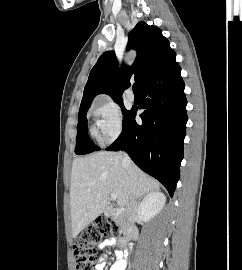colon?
<instances>
[{
	"mask_svg": "<svg viewBox=\"0 0 242 270\" xmlns=\"http://www.w3.org/2000/svg\"><path fill=\"white\" fill-rule=\"evenodd\" d=\"M120 234L118 225L111 219L101 218L87 226L72 245L76 270L95 269V247L106 238Z\"/></svg>",
	"mask_w": 242,
	"mask_h": 270,
	"instance_id": "1",
	"label": "colon"
}]
</instances>
